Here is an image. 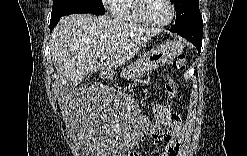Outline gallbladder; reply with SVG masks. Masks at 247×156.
Segmentation results:
<instances>
[{
	"instance_id": "obj_1",
	"label": "gallbladder",
	"mask_w": 247,
	"mask_h": 156,
	"mask_svg": "<svg viewBox=\"0 0 247 156\" xmlns=\"http://www.w3.org/2000/svg\"><path fill=\"white\" fill-rule=\"evenodd\" d=\"M73 86H74L73 85V82L72 81H69V82H67L66 84H64L62 86V91L64 93H70L72 91Z\"/></svg>"
}]
</instances>
